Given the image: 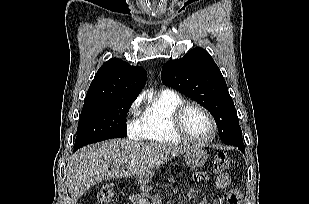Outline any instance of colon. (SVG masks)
Instances as JSON below:
<instances>
[{
	"instance_id": "1",
	"label": "colon",
	"mask_w": 309,
	"mask_h": 204,
	"mask_svg": "<svg viewBox=\"0 0 309 204\" xmlns=\"http://www.w3.org/2000/svg\"><path fill=\"white\" fill-rule=\"evenodd\" d=\"M233 165L232 159L225 152L218 153L213 161V171L217 174H222L231 169ZM239 196H232L228 200V204H239ZM118 199L115 185L112 183L104 184L99 192V201L102 204H110L116 202Z\"/></svg>"
}]
</instances>
